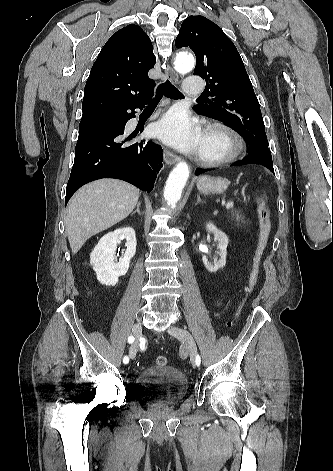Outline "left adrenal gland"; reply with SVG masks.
<instances>
[{"mask_svg":"<svg viewBox=\"0 0 333 471\" xmlns=\"http://www.w3.org/2000/svg\"><path fill=\"white\" fill-rule=\"evenodd\" d=\"M204 201L201 200L200 195H197V202L196 205L199 203H203Z\"/></svg>","mask_w":333,"mask_h":471,"instance_id":"1","label":"left adrenal gland"}]
</instances>
